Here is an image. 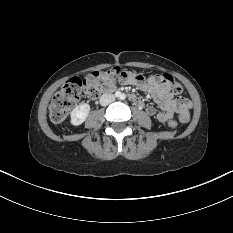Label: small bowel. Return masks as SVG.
<instances>
[{
	"mask_svg": "<svg viewBox=\"0 0 233 233\" xmlns=\"http://www.w3.org/2000/svg\"><path fill=\"white\" fill-rule=\"evenodd\" d=\"M117 80L122 85H135L141 90L152 95L155 103L161 108L157 111L154 107H146L148 115L154 116L159 122L166 123L174 117H178L181 123L189 120L191 102L184 97H174L170 92V87L157 77L145 80L142 73L133 74L131 71H123L117 75Z\"/></svg>",
	"mask_w": 233,
	"mask_h": 233,
	"instance_id": "c3829d8e",
	"label": "small bowel"
}]
</instances>
